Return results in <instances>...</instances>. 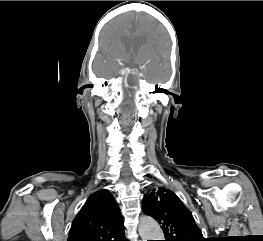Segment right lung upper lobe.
<instances>
[{
    "instance_id": "cb5924a9",
    "label": "right lung upper lobe",
    "mask_w": 263,
    "mask_h": 241,
    "mask_svg": "<svg viewBox=\"0 0 263 241\" xmlns=\"http://www.w3.org/2000/svg\"><path fill=\"white\" fill-rule=\"evenodd\" d=\"M123 217L108 190L93 193L74 218L67 241H127Z\"/></svg>"
}]
</instances>
